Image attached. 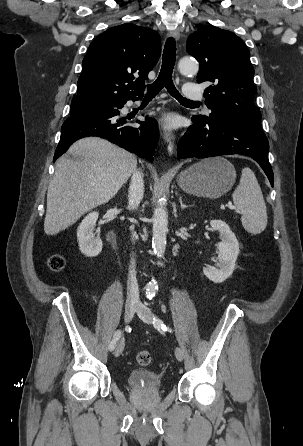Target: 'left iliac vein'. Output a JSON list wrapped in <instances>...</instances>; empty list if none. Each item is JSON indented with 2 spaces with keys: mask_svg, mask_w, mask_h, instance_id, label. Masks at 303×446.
<instances>
[{
  "mask_svg": "<svg viewBox=\"0 0 303 446\" xmlns=\"http://www.w3.org/2000/svg\"><path fill=\"white\" fill-rule=\"evenodd\" d=\"M136 312L144 322L148 324L152 322L153 313L149 308H147L143 304L138 305ZM175 356L178 361H182L184 359V351L182 350V348L177 347L175 349Z\"/></svg>",
  "mask_w": 303,
  "mask_h": 446,
  "instance_id": "obj_1",
  "label": "left iliac vein"
}]
</instances>
